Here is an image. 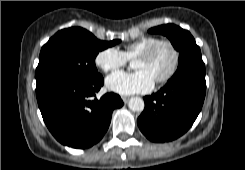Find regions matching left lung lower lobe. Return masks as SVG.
Returning <instances> with one entry per match:
<instances>
[{"mask_svg": "<svg viewBox=\"0 0 245 170\" xmlns=\"http://www.w3.org/2000/svg\"><path fill=\"white\" fill-rule=\"evenodd\" d=\"M206 93L205 75L184 73L172 77L157 93L146 96L137 122L153 142L177 139L190 129L201 111Z\"/></svg>", "mask_w": 245, "mask_h": 170, "instance_id": "1", "label": "left lung lower lobe"}]
</instances>
